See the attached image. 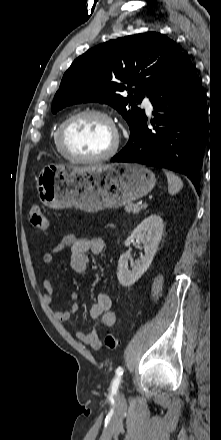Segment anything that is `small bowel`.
<instances>
[{
  "mask_svg": "<svg viewBox=\"0 0 221 440\" xmlns=\"http://www.w3.org/2000/svg\"><path fill=\"white\" fill-rule=\"evenodd\" d=\"M66 248L71 249L70 266L75 273L82 274L88 265V253L100 255L105 250V241L102 238H84L73 234L65 235L61 238L58 245L42 256V263L50 265L54 261V256ZM44 299L48 304L52 303L54 287L49 278L43 280ZM72 305L64 311H56L55 317L61 322H67L78 312L77 300L79 294L72 292L70 295ZM88 318L96 323V326L113 327L116 323V314L112 311V301L108 293L100 292L94 304L88 310ZM76 337L84 344L94 349L101 347V340L96 328L89 332H77Z\"/></svg>",
  "mask_w": 221,
  "mask_h": 440,
  "instance_id": "small-bowel-1",
  "label": "small bowel"
}]
</instances>
